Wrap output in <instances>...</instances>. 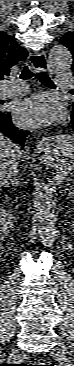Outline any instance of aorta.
<instances>
[{
  "instance_id": "762f6f07",
  "label": "aorta",
  "mask_w": 74,
  "mask_h": 366,
  "mask_svg": "<svg viewBox=\"0 0 74 366\" xmlns=\"http://www.w3.org/2000/svg\"><path fill=\"white\" fill-rule=\"evenodd\" d=\"M48 68L51 72L61 73L72 65V54L63 45H54L48 52ZM56 222L53 204L49 200L41 203L37 212V231L41 242L46 246H52L56 237Z\"/></svg>"
}]
</instances>
